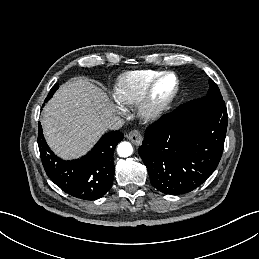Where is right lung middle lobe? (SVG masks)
<instances>
[{
    "instance_id": "dd1d6c3e",
    "label": "right lung middle lobe",
    "mask_w": 259,
    "mask_h": 259,
    "mask_svg": "<svg viewBox=\"0 0 259 259\" xmlns=\"http://www.w3.org/2000/svg\"><path fill=\"white\" fill-rule=\"evenodd\" d=\"M58 87H59V84H55V85L51 88V90H50V92H49V94H48V96H47V98L45 99L44 102H47L48 99H50V98L52 97L53 93L58 89Z\"/></svg>"
}]
</instances>
